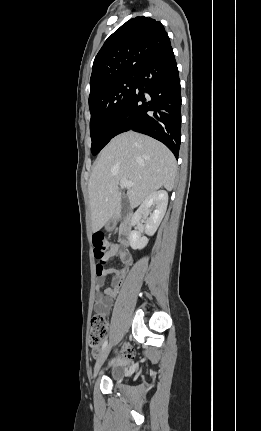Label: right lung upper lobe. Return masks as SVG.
I'll list each match as a JSON object with an SVG mask.
<instances>
[{"mask_svg": "<svg viewBox=\"0 0 261 431\" xmlns=\"http://www.w3.org/2000/svg\"><path fill=\"white\" fill-rule=\"evenodd\" d=\"M169 47L170 39L160 22L148 17L130 19L105 41L95 57L90 93L119 79L137 76Z\"/></svg>", "mask_w": 261, "mask_h": 431, "instance_id": "obj_1", "label": "right lung upper lobe"}]
</instances>
